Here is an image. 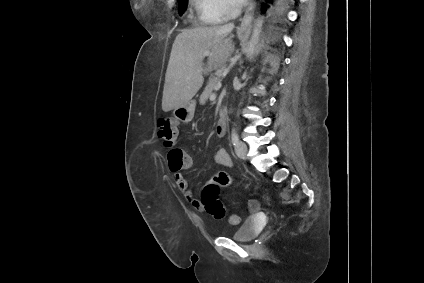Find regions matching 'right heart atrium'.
I'll use <instances>...</instances> for the list:
<instances>
[{
    "mask_svg": "<svg viewBox=\"0 0 424 283\" xmlns=\"http://www.w3.org/2000/svg\"><path fill=\"white\" fill-rule=\"evenodd\" d=\"M202 19L224 20L234 15L239 7L238 0H196Z\"/></svg>",
    "mask_w": 424,
    "mask_h": 283,
    "instance_id": "right-heart-atrium-1",
    "label": "right heart atrium"
}]
</instances>
